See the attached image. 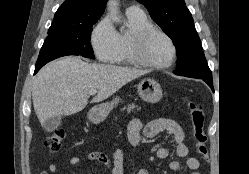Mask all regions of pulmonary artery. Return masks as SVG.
Listing matches in <instances>:
<instances>
[{"label":"pulmonary artery","instance_id":"pulmonary-artery-1","mask_svg":"<svg viewBox=\"0 0 249 174\" xmlns=\"http://www.w3.org/2000/svg\"><path fill=\"white\" fill-rule=\"evenodd\" d=\"M127 12L134 13V14H141V13H143L142 10L139 7H137V6H130L127 9Z\"/></svg>","mask_w":249,"mask_h":174}]
</instances>
